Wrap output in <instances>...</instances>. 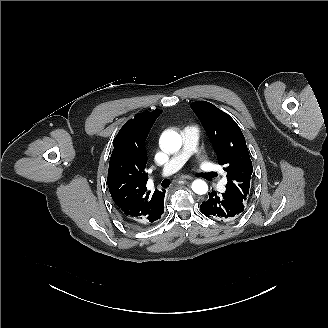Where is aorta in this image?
I'll return each mask as SVG.
<instances>
[{
  "mask_svg": "<svg viewBox=\"0 0 328 328\" xmlns=\"http://www.w3.org/2000/svg\"><path fill=\"white\" fill-rule=\"evenodd\" d=\"M160 144L167 152H175L181 148V136L175 131L164 132L160 137ZM192 190L199 195L206 194L208 185L205 181L197 179L192 183Z\"/></svg>",
  "mask_w": 328,
  "mask_h": 328,
  "instance_id": "aorta-1",
  "label": "aorta"
}]
</instances>
